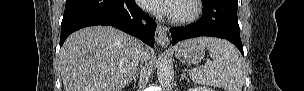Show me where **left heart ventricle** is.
Segmentation results:
<instances>
[{"instance_id": "left-heart-ventricle-1", "label": "left heart ventricle", "mask_w": 304, "mask_h": 91, "mask_svg": "<svg viewBox=\"0 0 304 91\" xmlns=\"http://www.w3.org/2000/svg\"><path fill=\"white\" fill-rule=\"evenodd\" d=\"M191 9L190 3L186 1H177L174 8L173 16L187 14Z\"/></svg>"}]
</instances>
